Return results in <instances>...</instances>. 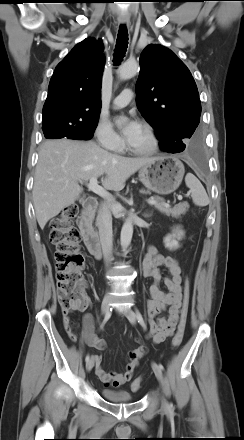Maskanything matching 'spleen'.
<instances>
[{"label": "spleen", "mask_w": 244, "mask_h": 440, "mask_svg": "<svg viewBox=\"0 0 244 440\" xmlns=\"http://www.w3.org/2000/svg\"><path fill=\"white\" fill-rule=\"evenodd\" d=\"M186 186L190 189L193 203L204 207L209 204V198L201 182L192 174L188 173L185 177Z\"/></svg>", "instance_id": "obj_1"}]
</instances>
